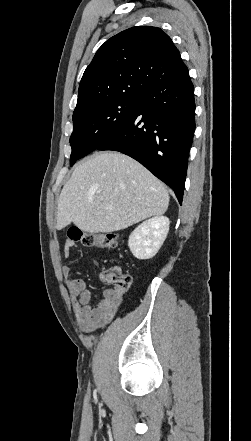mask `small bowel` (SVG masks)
<instances>
[{"label": "small bowel", "instance_id": "1", "mask_svg": "<svg viewBox=\"0 0 251 441\" xmlns=\"http://www.w3.org/2000/svg\"><path fill=\"white\" fill-rule=\"evenodd\" d=\"M75 242L67 240L63 247V254L68 256ZM97 265V262L93 260ZM73 271L71 266L63 267V274L70 276ZM69 291L74 300V313L81 330L92 332L108 324L117 313L126 291L115 288L103 291L100 301L92 305V297L86 282L81 278L69 280Z\"/></svg>", "mask_w": 251, "mask_h": 441}]
</instances>
